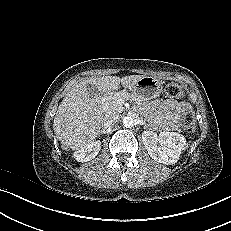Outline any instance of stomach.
I'll return each instance as SVG.
<instances>
[{"label":"stomach","mask_w":231,"mask_h":231,"mask_svg":"<svg viewBox=\"0 0 231 231\" xmlns=\"http://www.w3.org/2000/svg\"><path fill=\"white\" fill-rule=\"evenodd\" d=\"M131 94L140 100H151L160 96L163 91L162 81L152 76L141 78L130 88Z\"/></svg>","instance_id":"obj_1"}]
</instances>
